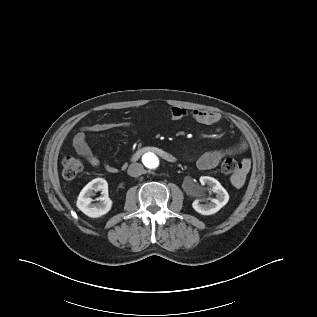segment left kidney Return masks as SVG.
I'll use <instances>...</instances> for the list:
<instances>
[{
    "mask_svg": "<svg viewBox=\"0 0 317 317\" xmlns=\"http://www.w3.org/2000/svg\"><path fill=\"white\" fill-rule=\"evenodd\" d=\"M202 186L207 185L208 188L216 193L215 199L210 200L207 203L201 204V199H195L192 203L193 209L202 215H212L218 212L229 201L228 192L222 187V185L213 177L201 176L199 179Z\"/></svg>",
    "mask_w": 317,
    "mask_h": 317,
    "instance_id": "5707ae66",
    "label": "left kidney"
}]
</instances>
